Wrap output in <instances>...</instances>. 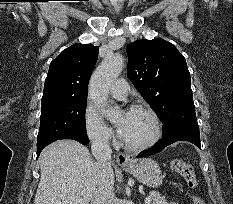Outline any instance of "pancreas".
Returning a JSON list of instances; mask_svg holds the SVG:
<instances>
[{"mask_svg": "<svg viewBox=\"0 0 233 204\" xmlns=\"http://www.w3.org/2000/svg\"><path fill=\"white\" fill-rule=\"evenodd\" d=\"M151 196L153 198V204H168L165 197L156 191L152 192Z\"/></svg>", "mask_w": 233, "mask_h": 204, "instance_id": "pancreas-1", "label": "pancreas"}]
</instances>
